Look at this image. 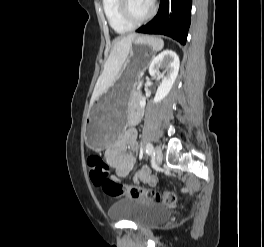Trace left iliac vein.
I'll return each instance as SVG.
<instances>
[{
	"label": "left iliac vein",
	"instance_id": "left-iliac-vein-1",
	"mask_svg": "<svg viewBox=\"0 0 264 247\" xmlns=\"http://www.w3.org/2000/svg\"><path fill=\"white\" fill-rule=\"evenodd\" d=\"M162 158H163L162 149L159 146H157L155 148V160L157 163H160L162 161Z\"/></svg>",
	"mask_w": 264,
	"mask_h": 247
}]
</instances>
